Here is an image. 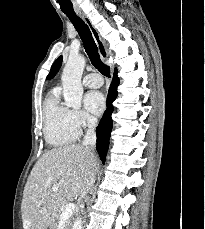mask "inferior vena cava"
<instances>
[{
  "mask_svg": "<svg viewBox=\"0 0 205 229\" xmlns=\"http://www.w3.org/2000/svg\"><path fill=\"white\" fill-rule=\"evenodd\" d=\"M96 124H97L96 118H94L92 116L87 117V127L88 128H87V131H86V134L84 136L82 144L88 151H92V149L96 143V133H95ZM94 178H95V175H92L87 180L85 189L81 195V199H84L86 194L92 188L93 183H94Z\"/></svg>",
  "mask_w": 205,
  "mask_h": 229,
  "instance_id": "602c4592",
  "label": "inferior vena cava"
}]
</instances>
